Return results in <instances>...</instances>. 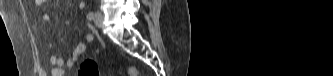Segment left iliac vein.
Returning a JSON list of instances; mask_svg holds the SVG:
<instances>
[{"instance_id": "obj_1", "label": "left iliac vein", "mask_w": 333, "mask_h": 76, "mask_svg": "<svg viewBox=\"0 0 333 76\" xmlns=\"http://www.w3.org/2000/svg\"><path fill=\"white\" fill-rule=\"evenodd\" d=\"M103 14L101 12H96L95 14V18H94V22L95 25L99 28H101L103 26Z\"/></svg>"}]
</instances>
